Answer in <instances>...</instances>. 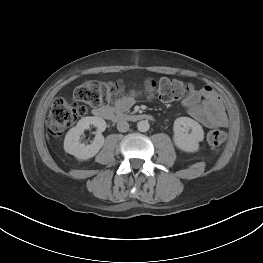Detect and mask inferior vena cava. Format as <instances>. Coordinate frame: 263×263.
<instances>
[{"mask_svg":"<svg viewBox=\"0 0 263 263\" xmlns=\"http://www.w3.org/2000/svg\"><path fill=\"white\" fill-rule=\"evenodd\" d=\"M117 129L119 132H127L129 130V124L125 120H121L117 123Z\"/></svg>","mask_w":263,"mask_h":263,"instance_id":"1","label":"inferior vena cava"}]
</instances>
